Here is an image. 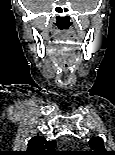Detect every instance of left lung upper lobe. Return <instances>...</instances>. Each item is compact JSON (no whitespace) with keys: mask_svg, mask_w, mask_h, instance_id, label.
<instances>
[{"mask_svg":"<svg viewBox=\"0 0 115 155\" xmlns=\"http://www.w3.org/2000/svg\"><path fill=\"white\" fill-rule=\"evenodd\" d=\"M89 145L92 149V151L90 152V155H113L112 152H109L104 148V142L101 137L92 138L89 141Z\"/></svg>","mask_w":115,"mask_h":155,"instance_id":"1","label":"left lung upper lobe"}]
</instances>
